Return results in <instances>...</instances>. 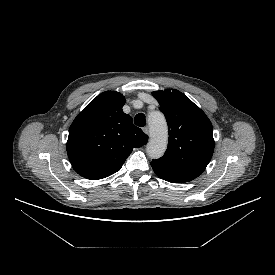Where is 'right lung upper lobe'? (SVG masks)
Instances as JSON below:
<instances>
[{
	"label": "right lung upper lobe",
	"mask_w": 275,
	"mask_h": 275,
	"mask_svg": "<svg viewBox=\"0 0 275 275\" xmlns=\"http://www.w3.org/2000/svg\"><path fill=\"white\" fill-rule=\"evenodd\" d=\"M124 104L122 94L104 92L71 124L67 154L82 177L98 180L116 173L133 148L147 143L148 136L123 112Z\"/></svg>",
	"instance_id": "right-lung-upper-lobe-1"
}]
</instances>
